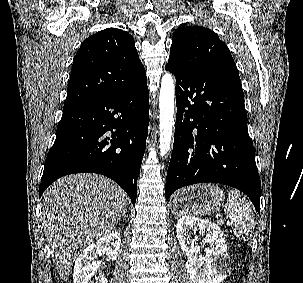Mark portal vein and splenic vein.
I'll return each mask as SVG.
<instances>
[{"instance_id": "obj_1", "label": "portal vein and splenic vein", "mask_w": 303, "mask_h": 283, "mask_svg": "<svg viewBox=\"0 0 303 283\" xmlns=\"http://www.w3.org/2000/svg\"><path fill=\"white\" fill-rule=\"evenodd\" d=\"M218 222H219V223H223L224 221H223L222 219H219Z\"/></svg>"}]
</instances>
